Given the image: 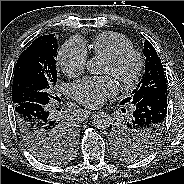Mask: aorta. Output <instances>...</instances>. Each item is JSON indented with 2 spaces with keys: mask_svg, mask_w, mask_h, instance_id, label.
<instances>
[{
  "mask_svg": "<svg viewBox=\"0 0 184 184\" xmlns=\"http://www.w3.org/2000/svg\"><path fill=\"white\" fill-rule=\"evenodd\" d=\"M86 68L91 74L98 75L102 73V66L96 59L88 60ZM111 121V116L106 112H97L93 115L92 119L94 127L100 130L107 129L111 125Z\"/></svg>",
  "mask_w": 184,
  "mask_h": 184,
  "instance_id": "1",
  "label": "aorta"
}]
</instances>
